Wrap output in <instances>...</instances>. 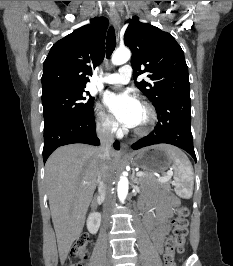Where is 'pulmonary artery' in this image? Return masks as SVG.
<instances>
[{
    "label": "pulmonary artery",
    "mask_w": 233,
    "mask_h": 266,
    "mask_svg": "<svg viewBox=\"0 0 233 266\" xmlns=\"http://www.w3.org/2000/svg\"><path fill=\"white\" fill-rule=\"evenodd\" d=\"M132 76V68L129 65L122 66L118 72L107 74L103 82L112 85L126 84Z\"/></svg>",
    "instance_id": "pulmonary-artery-1"
}]
</instances>
